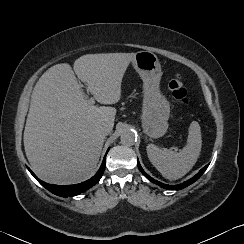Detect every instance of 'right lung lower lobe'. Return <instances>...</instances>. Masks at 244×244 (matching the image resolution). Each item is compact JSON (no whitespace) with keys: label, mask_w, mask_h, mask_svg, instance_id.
<instances>
[{"label":"right lung lower lobe","mask_w":244,"mask_h":244,"mask_svg":"<svg viewBox=\"0 0 244 244\" xmlns=\"http://www.w3.org/2000/svg\"><path fill=\"white\" fill-rule=\"evenodd\" d=\"M109 151V149L107 150V152ZM106 152V155H107ZM106 155L103 159V162L101 164L100 169L98 170V172L89 180L79 183V184H75V185H64V186H60V185H52V184H48L46 182L41 181L40 179L37 178V176L31 171L30 168H28V170L30 171V173L38 180V182L45 187L47 190H49L50 192H52L55 195L61 196V197H72V196H76L79 195L80 193L86 191L87 189L91 188L92 186H94L102 177L104 170H105V165H106Z\"/></svg>","instance_id":"98d812e1"}]
</instances>
